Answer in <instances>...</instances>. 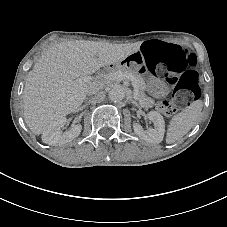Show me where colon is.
<instances>
[{
    "mask_svg": "<svg viewBox=\"0 0 227 227\" xmlns=\"http://www.w3.org/2000/svg\"><path fill=\"white\" fill-rule=\"evenodd\" d=\"M140 52L145 60L146 71L174 86L172 99L164 100L160 105L164 114L172 115L178 107L200 97L194 54L179 45L157 40L144 43Z\"/></svg>",
    "mask_w": 227,
    "mask_h": 227,
    "instance_id": "colon-1",
    "label": "colon"
}]
</instances>
